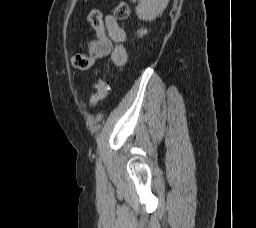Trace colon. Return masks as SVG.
Returning <instances> with one entry per match:
<instances>
[{
    "label": "colon",
    "instance_id": "obj_1",
    "mask_svg": "<svg viewBox=\"0 0 256 228\" xmlns=\"http://www.w3.org/2000/svg\"><path fill=\"white\" fill-rule=\"evenodd\" d=\"M129 5L125 1H121L114 9V16L123 20L129 16ZM88 21L96 32L98 39H102L104 34V23L101 12L93 8L88 14ZM94 63V57L88 54H76L72 57V64L78 69H87ZM109 93V83L105 79H100L97 83V91L91 96L90 104L94 107L97 102L103 100Z\"/></svg>",
    "mask_w": 256,
    "mask_h": 228
}]
</instances>
